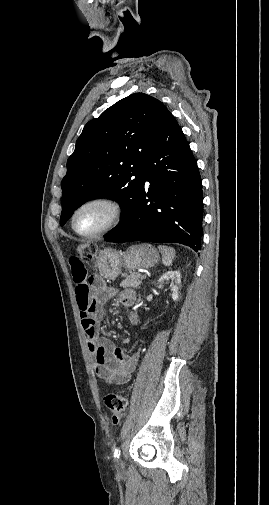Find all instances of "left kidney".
<instances>
[{
  "label": "left kidney",
  "mask_w": 269,
  "mask_h": 505,
  "mask_svg": "<svg viewBox=\"0 0 269 505\" xmlns=\"http://www.w3.org/2000/svg\"><path fill=\"white\" fill-rule=\"evenodd\" d=\"M171 281V289H172V299L173 301H177L179 298V284L181 283V274L179 271L170 270L165 272L160 279L158 280V287L163 288L164 284H168Z\"/></svg>",
  "instance_id": "left-kidney-1"
}]
</instances>
